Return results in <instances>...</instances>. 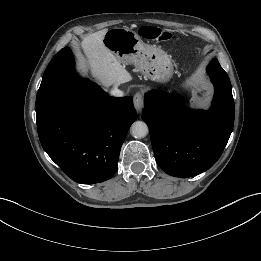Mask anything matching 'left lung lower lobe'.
<instances>
[{"instance_id": "1", "label": "left lung lower lobe", "mask_w": 261, "mask_h": 261, "mask_svg": "<svg viewBox=\"0 0 261 261\" xmlns=\"http://www.w3.org/2000/svg\"><path fill=\"white\" fill-rule=\"evenodd\" d=\"M207 73L215 86L209 111H189L177 96L159 91L144 98L142 119L149 127L156 162L171 176L191 177L208 170L231 135L234 101L229 77L217 59Z\"/></svg>"}]
</instances>
